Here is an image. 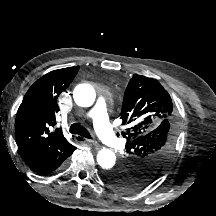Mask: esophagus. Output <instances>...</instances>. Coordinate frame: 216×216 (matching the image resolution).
<instances>
[{"label": "esophagus", "instance_id": "esophagus-1", "mask_svg": "<svg viewBox=\"0 0 216 216\" xmlns=\"http://www.w3.org/2000/svg\"><path fill=\"white\" fill-rule=\"evenodd\" d=\"M75 140L79 143L86 142L88 144L94 145L95 147H98V148L100 147V145L96 141L91 140V139H84L81 136H76Z\"/></svg>", "mask_w": 216, "mask_h": 216}]
</instances>
